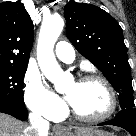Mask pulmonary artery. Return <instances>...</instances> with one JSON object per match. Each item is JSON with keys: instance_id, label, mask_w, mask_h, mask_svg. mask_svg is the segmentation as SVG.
<instances>
[{"instance_id": "pulmonary-artery-1", "label": "pulmonary artery", "mask_w": 136, "mask_h": 136, "mask_svg": "<svg viewBox=\"0 0 136 136\" xmlns=\"http://www.w3.org/2000/svg\"><path fill=\"white\" fill-rule=\"evenodd\" d=\"M56 56L63 62L71 63L75 58V51L71 44L60 41L55 47Z\"/></svg>"}]
</instances>
